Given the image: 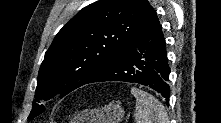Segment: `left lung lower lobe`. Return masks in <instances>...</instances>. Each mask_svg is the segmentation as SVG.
<instances>
[{"instance_id": "obj_1", "label": "left lung lower lobe", "mask_w": 221, "mask_h": 123, "mask_svg": "<svg viewBox=\"0 0 221 123\" xmlns=\"http://www.w3.org/2000/svg\"><path fill=\"white\" fill-rule=\"evenodd\" d=\"M165 39L157 16L115 59L98 71L88 83L124 81L148 86L168 103L170 97Z\"/></svg>"}]
</instances>
